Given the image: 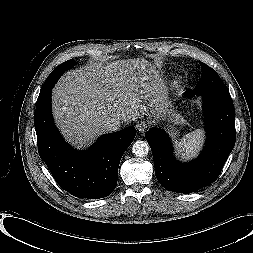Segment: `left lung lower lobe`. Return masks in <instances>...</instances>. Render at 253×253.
<instances>
[{"label": "left lung lower lobe", "mask_w": 253, "mask_h": 253, "mask_svg": "<svg viewBox=\"0 0 253 253\" xmlns=\"http://www.w3.org/2000/svg\"><path fill=\"white\" fill-rule=\"evenodd\" d=\"M185 96L201 95L207 133L202 153L193 161L179 163L173 157L172 145L160 128L145 133L153 154L155 175L168 191L192 193L211 184L235 144V110L226 85L222 82L213 90L198 94L187 90Z\"/></svg>", "instance_id": "1"}]
</instances>
